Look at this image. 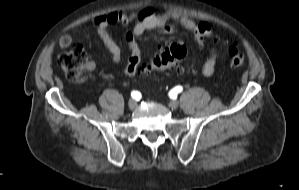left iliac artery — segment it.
<instances>
[{"label":"left iliac artery","mask_w":299,"mask_h":190,"mask_svg":"<svg viewBox=\"0 0 299 190\" xmlns=\"http://www.w3.org/2000/svg\"><path fill=\"white\" fill-rule=\"evenodd\" d=\"M183 90L182 86H176L174 89H172L169 93L170 96H174L177 93H180Z\"/></svg>","instance_id":"44dca946"}]
</instances>
